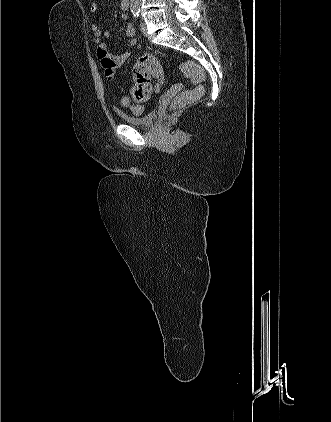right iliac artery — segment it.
<instances>
[{"label": "right iliac artery", "mask_w": 331, "mask_h": 422, "mask_svg": "<svg viewBox=\"0 0 331 422\" xmlns=\"http://www.w3.org/2000/svg\"><path fill=\"white\" fill-rule=\"evenodd\" d=\"M133 16H134V18L137 20V18H138V16H139V12H138V11L133 12Z\"/></svg>", "instance_id": "obj_1"}]
</instances>
